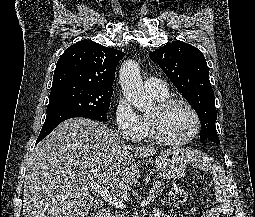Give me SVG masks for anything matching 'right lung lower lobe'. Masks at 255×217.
Masks as SVG:
<instances>
[{"instance_id": "1", "label": "right lung lower lobe", "mask_w": 255, "mask_h": 217, "mask_svg": "<svg viewBox=\"0 0 255 217\" xmlns=\"http://www.w3.org/2000/svg\"><path fill=\"white\" fill-rule=\"evenodd\" d=\"M74 117H84V118H89L93 120L100 121L96 119L95 117L82 113V112H77V111H69V110H64V109H58L51 111L47 113L45 122L42 126L41 132L37 138L36 144L39 143L43 138H45L51 131L59 125L61 122L74 118Z\"/></svg>"}]
</instances>
